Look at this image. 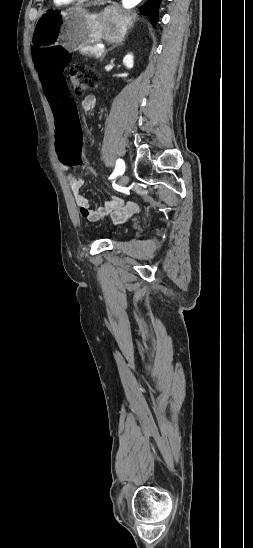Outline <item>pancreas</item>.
<instances>
[{
  "instance_id": "cf45deb5",
  "label": "pancreas",
  "mask_w": 253,
  "mask_h": 548,
  "mask_svg": "<svg viewBox=\"0 0 253 548\" xmlns=\"http://www.w3.org/2000/svg\"><path fill=\"white\" fill-rule=\"evenodd\" d=\"M80 53L82 55H86V56H89V57H95V58H100L103 51L99 49L98 46L96 45H87V46H82L80 48Z\"/></svg>"
}]
</instances>
